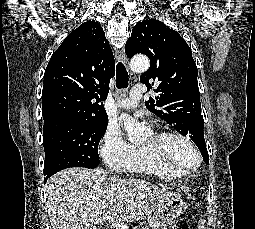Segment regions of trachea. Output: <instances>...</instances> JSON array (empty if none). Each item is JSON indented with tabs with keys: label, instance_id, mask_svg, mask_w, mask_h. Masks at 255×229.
<instances>
[{
	"label": "trachea",
	"instance_id": "3493384b",
	"mask_svg": "<svg viewBox=\"0 0 255 229\" xmlns=\"http://www.w3.org/2000/svg\"><path fill=\"white\" fill-rule=\"evenodd\" d=\"M129 77L128 72L122 62H119L116 66V87L126 88L128 86Z\"/></svg>",
	"mask_w": 255,
	"mask_h": 229
}]
</instances>
